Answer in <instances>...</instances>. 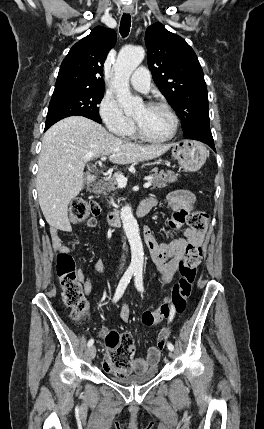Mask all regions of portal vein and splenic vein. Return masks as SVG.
Listing matches in <instances>:
<instances>
[{"label": "portal vein and splenic vein", "instance_id": "18ae733b", "mask_svg": "<svg viewBox=\"0 0 264 429\" xmlns=\"http://www.w3.org/2000/svg\"><path fill=\"white\" fill-rule=\"evenodd\" d=\"M101 160H106V157H101ZM116 181L120 187H125L127 185V178L123 176L122 174L116 173L115 175ZM152 185V182L148 180L143 186L144 188H149Z\"/></svg>", "mask_w": 264, "mask_h": 429}]
</instances>
